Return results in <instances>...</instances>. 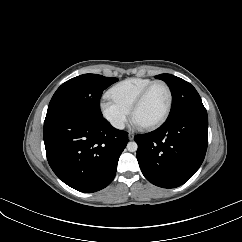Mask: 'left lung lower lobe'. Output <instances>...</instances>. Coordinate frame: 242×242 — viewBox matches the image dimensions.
<instances>
[{
    "label": "left lung lower lobe",
    "instance_id": "1",
    "mask_svg": "<svg viewBox=\"0 0 242 242\" xmlns=\"http://www.w3.org/2000/svg\"><path fill=\"white\" fill-rule=\"evenodd\" d=\"M137 159L145 178L163 188L188 181L201 166L208 145V117L193 108L172 118L155 131L136 135Z\"/></svg>",
    "mask_w": 242,
    "mask_h": 242
}]
</instances>
